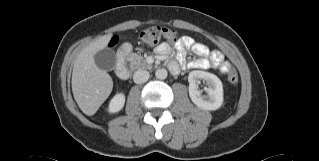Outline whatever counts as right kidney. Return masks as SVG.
<instances>
[{
    "label": "right kidney",
    "mask_w": 319,
    "mask_h": 161,
    "mask_svg": "<svg viewBox=\"0 0 319 161\" xmlns=\"http://www.w3.org/2000/svg\"><path fill=\"white\" fill-rule=\"evenodd\" d=\"M125 104V95L123 93L116 94L109 103L108 111L109 113L119 112Z\"/></svg>",
    "instance_id": "obj_1"
}]
</instances>
